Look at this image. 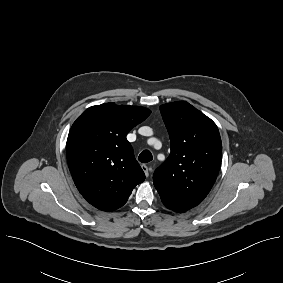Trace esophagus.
<instances>
[{"instance_id":"1","label":"esophagus","mask_w":283,"mask_h":283,"mask_svg":"<svg viewBox=\"0 0 283 283\" xmlns=\"http://www.w3.org/2000/svg\"><path fill=\"white\" fill-rule=\"evenodd\" d=\"M141 167H142V169H143V171H144L146 177H148V176H149L150 168H149L147 165H145V164L141 165Z\"/></svg>"}]
</instances>
